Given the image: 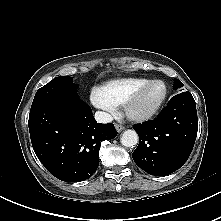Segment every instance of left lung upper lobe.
<instances>
[{
  "mask_svg": "<svg viewBox=\"0 0 221 221\" xmlns=\"http://www.w3.org/2000/svg\"><path fill=\"white\" fill-rule=\"evenodd\" d=\"M183 84L180 80L178 79H175V82H174V90H177L178 88L182 87Z\"/></svg>",
  "mask_w": 221,
  "mask_h": 221,
  "instance_id": "obj_1",
  "label": "left lung upper lobe"
}]
</instances>
